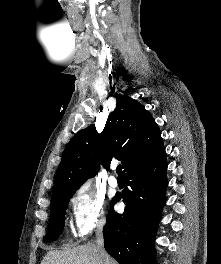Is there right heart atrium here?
I'll use <instances>...</instances> for the list:
<instances>
[{"mask_svg": "<svg viewBox=\"0 0 221 264\" xmlns=\"http://www.w3.org/2000/svg\"><path fill=\"white\" fill-rule=\"evenodd\" d=\"M70 208L72 231L77 238H84L107 223L102 201L85 187L72 196Z\"/></svg>", "mask_w": 221, "mask_h": 264, "instance_id": "1", "label": "right heart atrium"}]
</instances>
